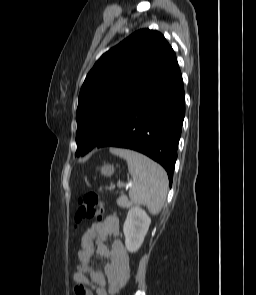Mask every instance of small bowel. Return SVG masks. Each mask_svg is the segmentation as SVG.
<instances>
[{
  "label": "small bowel",
  "mask_w": 256,
  "mask_h": 295,
  "mask_svg": "<svg viewBox=\"0 0 256 295\" xmlns=\"http://www.w3.org/2000/svg\"><path fill=\"white\" fill-rule=\"evenodd\" d=\"M119 218L109 215L90 225L82 235V247L77 252L79 265L72 275L76 295H116L129 277V256L117 239L109 248L104 241L119 234ZM95 256L107 259L103 271L96 269Z\"/></svg>",
  "instance_id": "1"
}]
</instances>
